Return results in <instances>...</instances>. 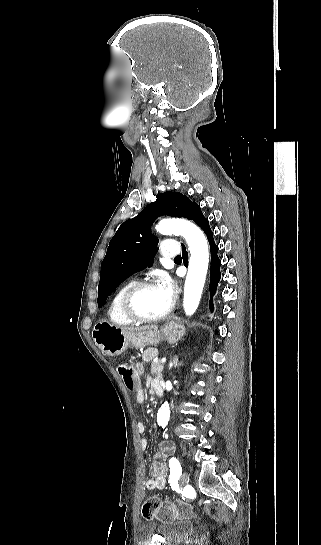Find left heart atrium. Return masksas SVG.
<instances>
[{"label": "left heart atrium", "instance_id": "obj_1", "mask_svg": "<svg viewBox=\"0 0 321 545\" xmlns=\"http://www.w3.org/2000/svg\"><path fill=\"white\" fill-rule=\"evenodd\" d=\"M158 287L165 293L170 304H172L177 294V287L167 274L161 275Z\"/></svg>", "mask_w": 321, "mask_h": 545}]
</instances>
